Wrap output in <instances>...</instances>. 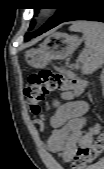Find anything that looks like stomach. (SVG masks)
<instances>
[{
  "instance_id": "stomach-1",
  "label": "stomach",
  "mask_w": 104,
  "mask_h": 169,
  "mask_svg": "<svg viewBox=\"0 0 104 169\" xmlns=\"http://www.w3.org/2000/svg\"><path fill=\"white\" fill-rule=\"evenodd\" d=\"M77 36L55 32L37 48L26 51L25 59L35 68L45 67L51 60L68 57L81 43Z\"/></svg>"
}]
</instances>
